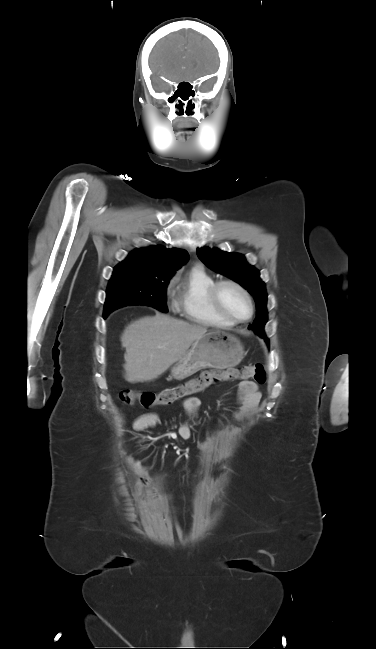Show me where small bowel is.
<instances>
[{
	"label": "small bowel",
	"instance_id": "c3829d8e",
	"mask_svg": "<svg viewBox=\"0 0 376 649\" xmlns=\"http://www.w3.org/2000/svg\"><path fill=\"white\" fill-rule=\"evenodd\" d=\"M262 399L261 391L259 390L258 385L253 381H242L238 386V404L239 411L241 414H246L250 411H253L258 407ZM182 407L186 415V421L182 423L177 432L176 436L180 437L183 440H189L192 438V426L191 421L197 418L201 401L196 397H191L182 402ZM159 423V415L157 413L151 412L139 416L133 423V429L136 431H143L148 428L155 427ZM218 443V437L205 436L199 442V448L202 450H208L216 446ZM129 464L132 470L137 474L138 480L135 484L134 494L140 495L142 488L149 482V473L147 468L142 465L140 462L133 459H129ZM156 494L150 492L145 496V499L155 498Z\"/></svg>",
	"mask_w": 376,
	"mask_h": 649
}]
</instances>
